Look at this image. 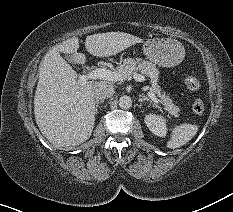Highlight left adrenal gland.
<instances>
[{
  "label": "left adrenal gland",
  "mask_w": 233,
  "mask_h": 212,
  "mask_svg": "<svg viewBox=\"0 0 233 212\" xmlns=\"http://www.w3.org/2000/svg\"><path fill=\"white\" fill-rule=\"evenodd\" d=\"M142 100L143 101H149L151 104H153V106L155 107H159L155 102H153L152 100H150L147 96L142 95Z\"/></svg>",
  "instance_id": "a2214340"
}]
</instances>
